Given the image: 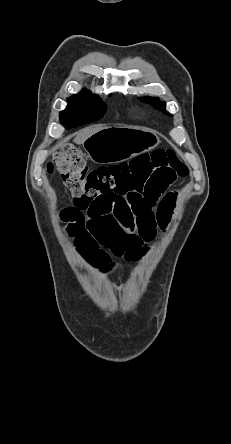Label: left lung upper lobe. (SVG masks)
Here are the masks:
<instances>
[{
  "mask_svg": "<svg viewBox=\"0 0 231 444\" xmlns=\"http://www.w3.org/2000/svg\"><path fill=\"white\" fill-rule=\"evenodd\" d=\"M141 100L150 103L154 107L162 110L164 113H168L165 109V103L160 102L159 99L156 97H144L141 98Z\"/></svg>",
  "mask_w": 231,
  "mask_h": 444,
  "instance_id": "left-lung-upper-lobe-1",
  "label": "left lung upper lobe"
}]
</instances>
